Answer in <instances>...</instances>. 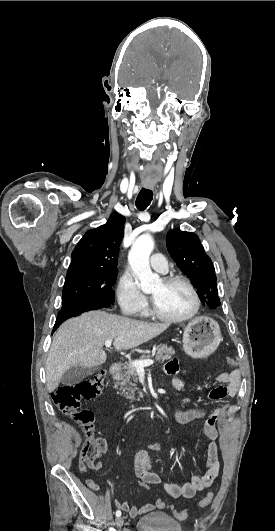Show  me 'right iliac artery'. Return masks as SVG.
Wrapping results in <instances>:
<instances>
[{
	"label": "right iliac artery",
	"mask_w": 275,
	"mask_h": 531,
	"mask_svg": "<svg viewBox=\"0 0 275 531\" xmlns=\"http://www.w3.org/2000/svg\"><path fill=\"white\" fill-rule=\"evenodd\" d=\"M116 516H117V517L121 516V511L117 510V511H116Z\"/></svg>",
	"instance_id": "82829eb1"
}]
</instances>
